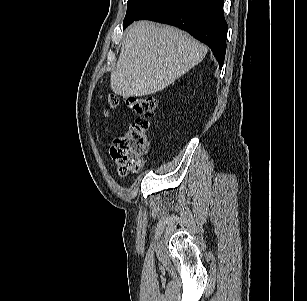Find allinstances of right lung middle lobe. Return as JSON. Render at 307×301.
Wrapping results in <instances>:
<instances>
[{
    "label": "right lung middle lobe",
    "mask_w": 307,
    "mask_h": 301,
    "mask_svg": "<svg viewBox=\"0 0 307 301\" xmlns=\"http://www.w3.org/2000/svg\"><path fill=\"white\" fill-rule=\"evenodd\" d=\"M164 0H128L126 16L124 18V27L131 24L141 15L151 10Z\"/></svg>",
    "instance_id": "obj_1"
}]
</instances>
